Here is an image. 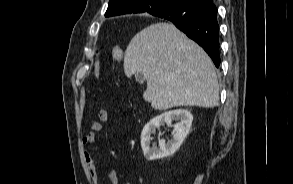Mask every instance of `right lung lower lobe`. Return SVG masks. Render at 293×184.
Wrapping results in <instances>:
<instances>
[{"mask_svg": "<svg viewBox=\"0 0 293 184\" xmlns=\"http://www.w3.org/2000/svg\"><path fill=\"white\" fill-rule=\"evenodd\" d=\"M157 16L171 21L197 42L208 53L215 66L219 67V25L217 8L213 3L199 5L195 1L183 0L177 6Z\"/></svg>", "mask_w": 293, "mask_h": 184, "instance_id": "1", "label": "right lung lower lobe"}]
</instances>
